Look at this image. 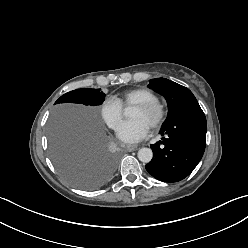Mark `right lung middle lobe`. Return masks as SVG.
I'll list each match as a JSON object with an SVG mask.
<instances>
[{"label": "right lung middle lobe", "mask_w": 248, "mask_h": 248, "mask_svg": "<svg viewBox=\"0 0 248 248\" xmlns=\"http://www.w3.org/2000/svg\"><path fill=\"white\" fill-rule=\"evenodd\" d=\"M105 94L99 89H76L61 96L58 103L100 105ZM105 144L95 118L79 120L72 129L53 126L49 133L52 161L62 177L73 186L93 190L102 187L113 175L115 160L105 154Z\"/></svg>", "instance_id": "dd1d6c3e"}]
</instances>
